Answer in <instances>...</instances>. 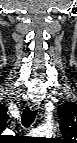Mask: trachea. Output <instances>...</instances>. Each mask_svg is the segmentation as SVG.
<instances>
[{"mask_svg": "<svg viewBox=\"0 0 77 143\" xmlns=\"http://www.w3.org/2000/svg\"><path fill=\"white\" fill-rule=\"evenodd\" d=\"M36 115L37 110H32L29 107H26L21 116L22 125L25 128L30 127V125L34 122Z\"/></svg>", "mask_w": 77, "mask_h": 143, "instance_id": "1", "label": "trachea"}]
</instances>
